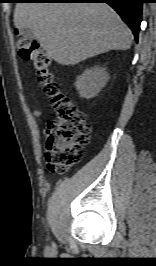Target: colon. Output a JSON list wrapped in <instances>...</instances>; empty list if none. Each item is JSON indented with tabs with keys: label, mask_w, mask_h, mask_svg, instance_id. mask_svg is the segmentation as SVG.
<instances>
[{
	"label": "colon",
	"mask_w": 156,
	"mask_h": 266,
	"mask_svg": "<svg viewBox=\"0 0 156 266\" xmlns=\"http://www.w3.org/2000/svg\"><path fill=\"white\" fill-rule=\"evenodd\" d=\"M17 48L23 60L31 61L39 85L50 98L54 118L47 126V167L51 172L63 173L80 161L89 142L90 125L85 114L65 95L50 69V58L40 45L20 37Z\"/></svg>",
	"instance_id": "colon-1"
}]
</instances>
